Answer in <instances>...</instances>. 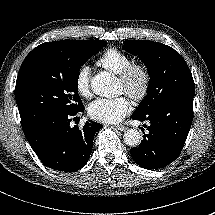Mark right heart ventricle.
<instances>
[{"mask_svg":"<svg viewBox=\"0 0 215 215\" xmlns=\"http://www.w3.org/2000/svg\"><path fill=\"white\" fill-rule=\"evenodd\" d=\"M131 62L132 58L126 51L110 47L99 56L96 64L111 73L119 74Z\"/></svg>","mask_w":215,"mask_h":215,"instance_id":"right-heart-ventricle-1","label":"right heart ventricle"}]
</instances>
